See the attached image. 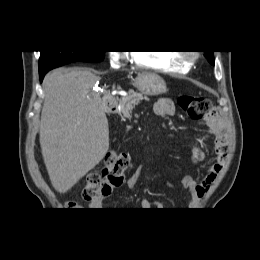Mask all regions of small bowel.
Returning a JSON list of instances; mask_svg holds the SVG:
<instances>
[{
    "label": "small bowel",
    "instance_id": "small-bowel-1",
    "mask_svg": "<svg viewBox=\"0 0 260 260\" xmlns=\"http://www.w3.org/2000/svg\"><path fill=\"white\" fill-rule=\"evenodd\" d=\"M153 112L156 116L167 117L171 116L175 112L174 102L169 98H159L153 104ZM208 126L209 132L215 136V143L213 148L214 161L208 167L206 174L197 180L191 176H184L181 178V185L190 193V206L196 207L201 199L204 197L209 187L217 178L222 166L226 160L228 143L227 133L224 122L215 114L214 116H207L204 118ZM206 155L200 146L193 147L191 151V161L199 163L205 159ZM143 165H139L135 168L132 174L128 177L126 186L133 188L137 184L140 174L142 172ZM169 186H173L172 181H168ZM140 206L144 210H152L160 208V203L156 201H149L142 199ZM90 210H101L103 208V200H93L89 204Z\"/></svg>",
    "mask_w": 260,
    "mask_h": 260
}]
</instances>
